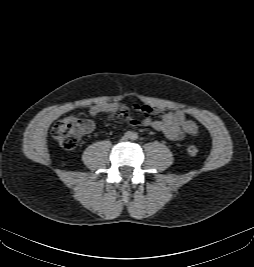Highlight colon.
<instances>
[{"label": "colon", "instance_id": "5ec220e1", "mask_svg": "<svg viewBox=\"0 0 254 267\" xmlns=\"http://www.w3.org/2000/svg\"><path fill=\"white\" fill-rule=\"evenodd\" d=\"M93 123L89 119L66 117L57 121L52 127V136L59 144L68 150L74 149L83 135L91 131ZM187 153L190 156L198 154V148L195 145L187 147Z\"/></svg>", "mask_w": 254, "mask_h": 267}]
</instances>
